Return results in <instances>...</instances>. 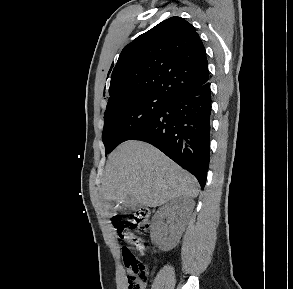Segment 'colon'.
<instances>
[{
  "mask_svg": "<svg viewBox=\"0 0 293 289\" xmlns=\"http://www.w3.org/2000/svg\"><path fill=\"white\" fill-rule=\"evenodd\" d=\"M149 217V211L144 208L134 210L127 217H114L113 226L118 238L131 243L139 251H144L146 243L135 231H146L149 227ZM122 255L127 268V289H144L149 279L147 264L138 259L129 248H123Z\"/></svg>",
  "mask_w": 293,
  "mask_h": 289,
  "instance_id": "5ec220e1",
  "label": "colon"
}]
</instances>
